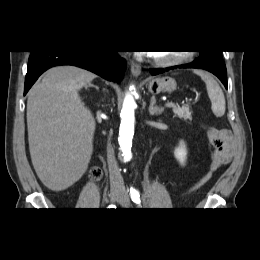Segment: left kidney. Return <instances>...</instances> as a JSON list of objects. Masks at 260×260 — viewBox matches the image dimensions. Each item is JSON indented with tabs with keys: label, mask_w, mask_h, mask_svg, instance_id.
I'll return each instance as SVG.
<instances>
[{
	"label": "left kidney",
	"mask_w": 260,
	"mask_h": 260,
	"mask_svg": "<svg viewBox=\"0 0 260 260\" xmlns=\"http://www.w3.org/2000/svg\"><path fill=\"white\" fill-rule=\"evenodd\" d=\"M186 155H187V150H186L185 143L183 141H180L179 146L176 147L174 150V156L181 164H184Z\"/></svg>",
	"instance_id": "5707ae66"
}]
</instances>
